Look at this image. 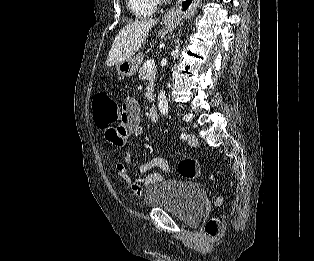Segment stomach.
<instances>
[{
	"instance_id": "stomach-1",
	"label": "stomach",
	"mask_w": 314,
	"mask_h": 261,
	"mask_svg": "<svg viewBox=\"0 0 314 261\" xmlns=\"http://www.w3.org/2000/svg\"><path fill=\"white\" fill-rule=\"evenodd\" d=\"M142 58H143V55L139 53L138 55L132 56L131 58L118 64L117 74L123 78L133 76L136 73Z\"/></svg>"
}]
</instances>
